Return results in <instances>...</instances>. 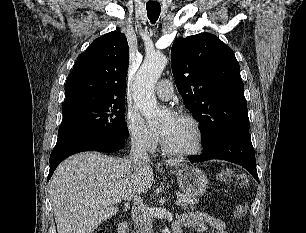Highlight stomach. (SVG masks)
Returning a JSON list of instances; mask_svg holds the SVG:
<instances>
[{
	"mask_svg": "<svg viewBox=\"0 0 306 233\" xmlns=\"http://www.w3.org/2000/svg\"><path fill=\"white\" fill-rule=\"evenodd\" d=\"M176 177L182 191L192 197L203 195L208 187L206 174L194 166L182 167L176 172Z\"/></svg>",
	"mask_w": 306,
	"mask_h": 233,
	"instance_id": "obj_1",
	"label": "stomach"
}]
</instances>
